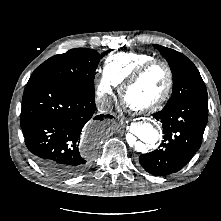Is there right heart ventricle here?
I'll return each instance as SVG.
<instances>
[{"label": "right heart ventricle", "instance_id": "obj_1", "mask_svg": "<svg viewBox=\"0 0 221 221\" xmlns=\"http://www.w3.org/2000/svg\"><path fill=\"white\" fill-rule=\"evenodd\" d=\"M151 59H155V57L144 52L117 53L106 59L104 74L116 86H119L122 85L140 65Z\"/></svg>", "mask_w": 221, "mask_h": 221}]
</instances>
